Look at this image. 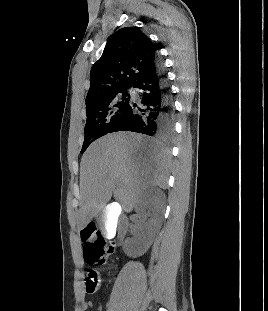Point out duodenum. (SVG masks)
<instances>
[{
    "label": "duodenum",
    "instance_id": "duodenum-1",
    "mask_svg": "<svg viewBox=\"0 0 268 311\" xmlns=\"http://www.w3.org/2000/svg\"><path fill=\"white\" fill-rule=\"evenodd\" d=\"M125 230H126V224L124 222L120 221L119 225H118L119 235H122ZM112 243L114 244V242H112Z\"/></svg>",
    "mask_w": 268,
    "mask_h": 311
}]
</instances>
